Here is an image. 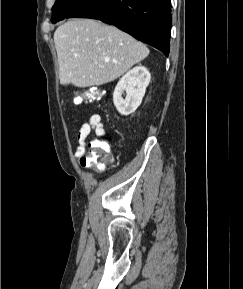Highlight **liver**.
<instances>
[{"instance_id": "obj_1", "label": "liver", "mask_w": 243, "mask_h": 289, "mask_svg": "<svg viewBox=\"0 0 243 289\" xmlns=\"http://www.w3.org/2000/svg\"><path fill=\"white\" fill-rule=\"evenodd\" d=\"M63 85L84 88L114 81L145 59L149 49L118 28L93 19H73L54 33Z\"/></svg>"}]
</instances>
